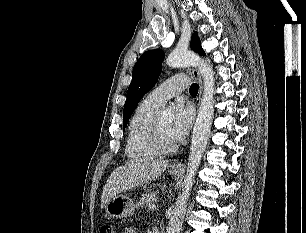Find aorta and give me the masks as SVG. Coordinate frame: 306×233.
I'll return each mask as SVG.
<instances>
[{
	"instance_id": "762f6f07",
	"label": "aorta",
	"mask_w": 306,
	"mask_h": 233,
	"mask_svg": "<svg viewBox=\"0 0 306 233\" xmlns=\"http://www.w3.org/2000/svg\"><path fill=\"white\" fill-rule=\"evenodd\" d=\"M166 62L172 68L197 67L204 83L203 95L193 128L182 193L176 200L173 215L166 231L167 233H180L190 191L211 131L214 116V72L212 66L188 50H174L168 56Z\"/></svg>"
}]
</instances>
